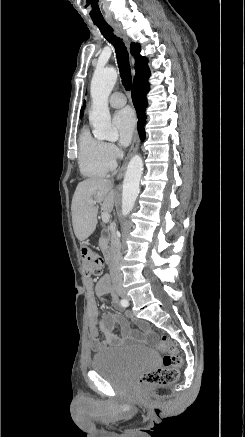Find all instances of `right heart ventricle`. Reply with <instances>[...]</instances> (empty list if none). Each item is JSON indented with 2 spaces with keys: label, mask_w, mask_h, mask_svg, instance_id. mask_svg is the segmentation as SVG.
I'll list each match as a JSON object with an SVG mask.
<instances>
[{
  "label": "right heart ventricle",
  "mask_w": 245,
  "mask_h": 437,
  "mask_svg": "<svg viewBox=\"0 0 245 437\" xmlns=\"http://www.w3.org/2000/svg\"><path fill=\"white\" fill-rule=\"evenodd\" d=\"M78 162L81 173L89 178H103L113 170L104 156V142L94 138L86 126L79 135Z\"/></svg>",
  "instance_id": "obj_1"
}]
</instances>
